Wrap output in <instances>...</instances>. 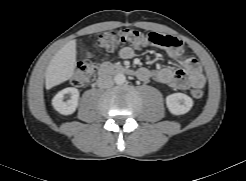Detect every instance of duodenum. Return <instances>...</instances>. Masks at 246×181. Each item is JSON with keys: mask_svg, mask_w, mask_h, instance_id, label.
<instances>
[{"mask_svg": "<svg viewBox=\"0 0 246 181\" xmlns=\"http://www.w3.org/2000/svg\"><path fill=\"white\" fill-rule=\"evenodd\" d=\"M109 74H130L137 75L138 72L127 67L115 64H103L98 70V76L104 77Z\"/></svg>", "mask_w": 246, "mask_h": 181, "instance_id": "1", "label": "duodenum"}]
</instances>
